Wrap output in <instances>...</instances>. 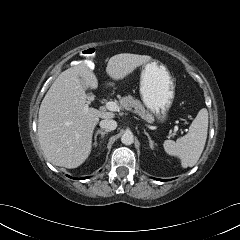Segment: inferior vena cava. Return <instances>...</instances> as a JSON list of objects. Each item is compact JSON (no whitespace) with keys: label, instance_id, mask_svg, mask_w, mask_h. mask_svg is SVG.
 I'll list each match as a JSON object with an SVG mask.
<instances>
[{"label":"inferior vena cava","instance_id":"inferior-vena-cava-1","mask_svg":"<svg viewBox=\"0 0 240 240\" xmlns=\"http://www.w3.org/2000/svg\"><path fill=\"white\" fill-rule=\"evenodd\" d=\"M100 127L105 131H113L117 127V122L113 119H104L100 121Z\"/></svg>","mask_w":240,"mask_h":240}]
</instances>
